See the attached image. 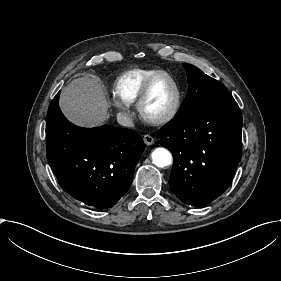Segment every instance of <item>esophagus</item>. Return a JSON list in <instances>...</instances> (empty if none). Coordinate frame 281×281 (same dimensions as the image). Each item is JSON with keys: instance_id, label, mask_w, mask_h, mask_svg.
Wrapping results in <instances>:
<instances>
[{"instance_id": "1", "label": "esophagus", "mask_w": 281, "mask_h": 281, "mask_svg": "<svg viewBox=\"0 0 281 281\" xmlns=\"http://www.w3.org/2000/svg\"><path fill=\"white\" fill-rule=\"evenodd\" d=\"M143 141L146 145L154 144V138L151 135H148V134L143 136Z\"/></svg>"}]
</instances>
